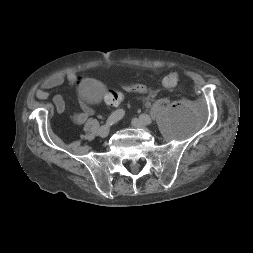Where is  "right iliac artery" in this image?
<instances>
[{"label": "right iliac artery", "mask_w": 253, "mask_h": 253, "mask_svg": "<svg viewBox=\"0 0 253 253\" xmlns=\"http://www.w3.org/2000/svg\"><path fill=\"white\" fill-rule=\"evenodd\" d=\"M124 114H125V111L123 109H118L109 116L106 123L108 125H112L118 122L120 119H122Z\"/></svg>", "instance_id": "right-iliac-artery-1"}]
</instances>
